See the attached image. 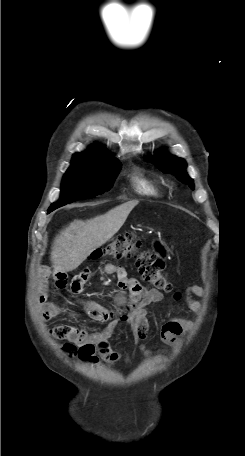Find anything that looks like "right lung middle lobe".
I'll return each instance as SVG.
<instances>
[{
    "label": "right lung middle lobe",
    "instance_id": "right-lung-middle-lobe-1",
    "mask_svg": "<svg viewBox=\"0 0 245 456\" xmlns=\"http://www.w3.org/2000/svg\"><path fill=\"white\" fill-rule=\"evenodd\" d=\"M121 169L116 160L100 164H76L63 177L61 197L49 209L55 210L68 203L94 197L108 191Z\"/></svg>",
    "mask_w": 245,
    "mask_h": 456
}]
</instances>
